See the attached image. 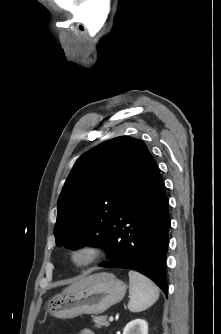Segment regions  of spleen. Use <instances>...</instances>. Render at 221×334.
Returning a JSON list of instances; mask_svg holds the SVG:
<instances>
[{"label": "spleen", "instance_id": "3e777b00", "mask_svg": "<svg viewBox=\"0 0 221 334\" xmlns=\"http://www.w3.org/2000/svg\"><path fill=\"white\" fill-rule=\"evenodd\" d=\"M130 300L128 309L141 312L151 307L159 298L158 287L147 277L136 271H129Z\"/></svg>", "mask_w": 221, "mask_h": 334}]
</instances>
